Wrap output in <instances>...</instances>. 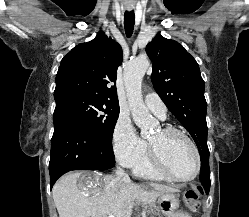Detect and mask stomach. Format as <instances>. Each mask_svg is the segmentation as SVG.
Here are the masks:
<instances>
[{
	"label": "stomach",
	"mask_w": 249,
	"mask_h": 217,
	"mask_svg": "<svg viewBox=\"0 0 249 217\" xmlns=\"http://www.w3.org/2000/svg\"><path fill=\"white\" fill-rule=\"evenodd\" d=\"M158 204L159 209L163 214L172 217L179 208V199L173 193L166 192L161 194Z\"/></svg>",
	"instance_id": "1"
}]
</instances>
